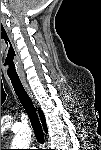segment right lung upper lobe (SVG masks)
Segmentation results:
<instances>
[{
	"label": "right lung upper lobe",
	"mask_w": 101,
	"mask_h": 150,
	"mask_svg": "<svg viewBox=\"0 0 101 150\" xmlns=\"http://www.w3.org/2000/svg\"><path fill=\"white\" fill-rule=\"evenodd\" d=\"M38 112H39L40 119H41V122L43 124L44 130H45V132H47V126H46L44 114H43V112L41 111L40 108L38 109Z\"/></svg>",
	"instance_id": "obj_1"
}]
</instances>
